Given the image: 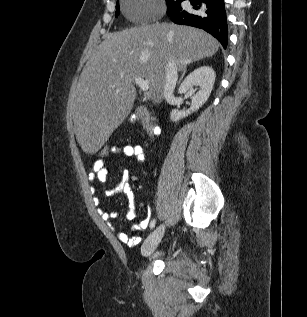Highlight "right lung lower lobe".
<instances>
[{
  "instance_id": "98d812e1",
  "label": "right lung lower lobe",
  "mask_w": 307,
  "mask_h": 317,
  "mask_svg": "<svg viewBox=\"0 0 307 317\" xmlns=\"http://www.w3.org/2000/svg\"><path fill=\"white\" fill-rule=\"evenodd\" d=\"M175 0L167 6V15L176 24L201 28L214 36L224 48L228 43L224 0H190L192 8L183 10Z\"/></svg>"
}]
</instances>
